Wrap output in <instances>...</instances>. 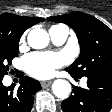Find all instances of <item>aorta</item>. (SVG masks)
I'll use <instances>...</instances> for the list:
<instances>
[{
  "label": "aorta",
  "instance_id": "obj_1",
  "mask_svg": "<svg viewBox=\"0 0 112 112\" xmlns=\"http://www.w3.org/2000/svg\"><path fill=\"white\" fill-rule=\"evenodd\" d=\"M27 41L30 47L34 49H43L48 46L50 38L45 30L34 28L29 32ZM71 90V84L64 79H57L52 84L54 95L62 100L70 96Z\"/></svg>",
  "mask_w": 112,
  "mask_h": 112
}]
</instances>
